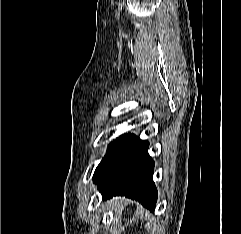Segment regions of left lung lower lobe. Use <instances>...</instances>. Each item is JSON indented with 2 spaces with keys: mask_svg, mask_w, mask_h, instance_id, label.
Masks as SVG:
<instances>
[{
  "mask_svg": "<svg viewBox=\"0 0 241 234\" xmlns=\"http://www.w3.org/2000/svg\"><path fill=\"white\" fill-rule=\"evenodd\" d=\"M148 142L124 134L111 145L93 178L103 199L125 195L150 210L155 209L157 189L152 179L154 163L147 153Z\"/></svg>",
  "mask_w": 241,
  "mask_h": 234,
  "instance_id": "1",
  "label": "left lung lower lobe"
}]
</instances>
